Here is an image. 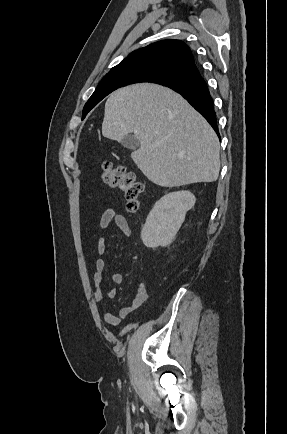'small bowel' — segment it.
I'll use <instances>...</instances> for the list:
<instances>
[{"mask_svg": "<svg viewBox=\"0 0 287 434\" xmlns=\"http://www.w3.org/2000/svg\"><path fill=\"white\" fill-rule=\"evenodd\" d=\"M112 224H114L124 235H131V229L126 216L121 213H117L112 208H108L102 213L101 217L99 218V226L102 233L105 234ZM105 248L106 242L104 237H102L96 245V251L99 254V257L95 261V271L93 273V283L95 286L94 299L97 303H103L105 300L102 286L103 273L106 268V262L102 257L103 253L105 252ZM123 278L124 276L121 272H113L110 275V280L114 284L122 283ZM116 295V288L111 287L108 290V296L110 298H114ZM147 297L148 294L145 285L143 283H139L132 303L128 306L122 307L118 315L108 310H104V320L111 326L120 325L122 319L130 316L147 301Z\"/></svg>", "mask_w": 287, "mask_h": 434, "instance_id": "1", "label": "small bowel"}]
</instances>
